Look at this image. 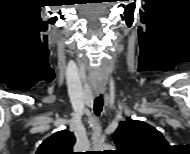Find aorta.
Returning a JSON list of instances; mask_svg holds the SVG:
<instances>
[{
	"mask_svg": "<svg viewBox=\"0 0 190 154\" xmlns=\"http://www.w3.org/2000/svg\"><path fill=\"white\" fill-rule=\"evenodd\" d=\"M99 148L102 149V151H103V150H109L111 148V146L109 144H102V145H100Z\"/></svg>",
	"mask_w": 190,
	"mask_h": 154,
	"instance_id": "1",
	"label": "aorta"
}]
</instances>
